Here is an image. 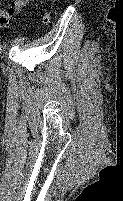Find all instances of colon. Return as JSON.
Returning a JSON list of instances; mask_svg holds the SVG:
<instances>
[{
  "label": "colon",
  "instance_id": "5ec220e1",
  "mask_svg": "<svg viewBox=\"0 0 123 201\" xmlns=\"http://www.w3.org/2000/svg\"><path fill=\"white\" fill-rule=\"evenodd\" d=\"M50 18H51L50 12L46 11L42 16V22L45 26H47L50 23Z\"/></svg>",
  "mask_w": 123,
  "mask_h": 201
}]
</instances>
